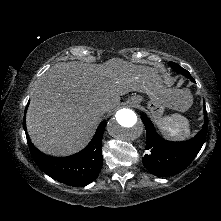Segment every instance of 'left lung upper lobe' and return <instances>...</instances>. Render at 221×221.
Returning a JSON list of instances; mask_svg holds the SVG:
<instances>
[{"mask_svg":"<svg viewBox=\"0 0 221 221\" xmlns=\"http://www.w3.org/2000/svg\"><path fill=\"white\" fill-rule=\"evenodd\" d=\"M169 65L177 72L184 74L185 69L180 67L178 64L174 63V62H169Z\"/></svg>","mask_w":221,"mask_h":221,"instance_id":"obj_1","label":"left lung upper lobe"}]
</instances>
